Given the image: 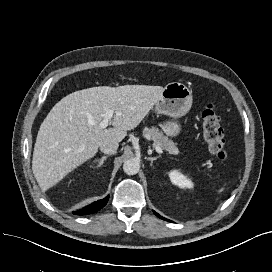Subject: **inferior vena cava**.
<instances>
[{
  "mask_svg": "<svg viewBox=\"0 0 272 272\" xmlns=\"http://www.w3.org/2000/svg\"><path fill=\"white\" fill-rule=\"evenodd\" d=\"M118 149V144L117 143H112V142H106L100 146L101 152L105 154H115Z\"/></svg>",
  "mask_w": 272,
  "mask_h": 272,
  "instance_id": "602c4592",
  "label": "inferior vena cava"
}]
</instances>
